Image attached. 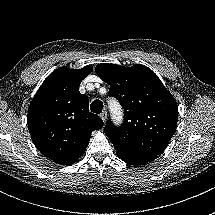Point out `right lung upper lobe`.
I'll use <instances>...</instances> for the list:
<instances>
[{"label":"right lung upper lobe","instance_id":"obj_1","mask_svg":"<svg viewBox=\"0 0 215 215\" xmlns=\"http://www.w3.org/2000/svg\"><path fill=\"white\" fill-rule=\"evenodd\" d=\"M93 70L58 68L42 83L28 109V128L37 149L61 164L76 162L85 152L102 119L89 112V99L79 92Z\"/></svg>","mask_w":215,"mask_h":215}]
</instances>
